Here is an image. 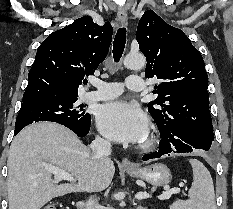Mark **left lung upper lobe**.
Wrapping results in <instances>:
<instances>
[{
	"label": "left lung upper lobe",
	"mask_w": 233,
	"mask_h": 209,
	"mask_svg": "<svg viewBox=\"0 0 233 209\" xmlns=\"http://www.w3.org/2000/svg\"><path fill=\"white\" fill-rule=\"evenodd\" d=\"M136 39L147 58L146 77L159 80L153 91L158 97L148 103L157 126H183L214 140L208 76L190 39L153 10L141 17Z\"/></svg>",
	"instance_id": "obj_1"
}]
</instances>
